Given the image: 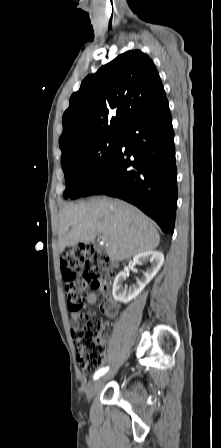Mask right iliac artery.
Listing matches in <instances>:
<instances>
[{
  "mask_svg": "<svg viewBox=\"0 0 221 448\" xmlns=\"http://www.w3.org/2000/svg\"><path fill=\"white\" fill-rule=\"evenodd\" d=\"M108 370H109V367L101 368L100 370H98L94 375V380L98 379L100 376L105 374Z\"/></svg>",
  "mask_w": 221,
  "mask_h": 448,
  "instance_id": "right-iliac-artery-1",
  "label": "right iliac artery"
}]
</instances>
